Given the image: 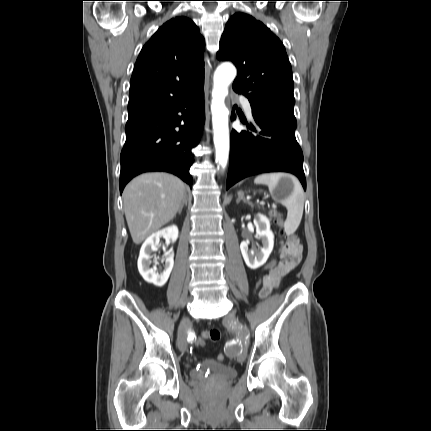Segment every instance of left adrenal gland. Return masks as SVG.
<instances>
[{
  "label": "left adrenal gland",
  "mask_w": 431,
  "mask_h": 431,
  "mask_svg": "<svg viewBox=\"0 0 431 431\" xmlns=\"http://www.w3.org/2000/svg\"><path fill=\"white\" fill-rule=\"evenodd\" d=\"M241 200L245 203L251 204V202L245 198L244 193L242 191H239L236 203L238 204Z\"/></svg>",
  "instance_id": "obj_1"
}]
</instances>
